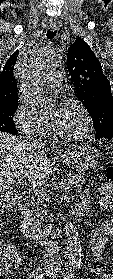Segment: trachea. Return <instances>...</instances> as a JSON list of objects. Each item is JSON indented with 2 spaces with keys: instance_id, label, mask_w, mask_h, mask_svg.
Masks as SVG:
<instances>
[{
  "instance_id": "1",
  "label": "trachea",
  "mask_w": 113,
  "mask_h": 279,
  "mask_svg": "<svg viewBox=\"0 0 113 279\" xmlns=\"http://www.w3.org/2000/svg\"><path fill=\"white\" fill-rule=\"evenodd\" d=\"M55 35H56V31H53V30H48V31H47V34H46V36H47L48 39L54 38Z\"/></svg>"
}]
</instances>
